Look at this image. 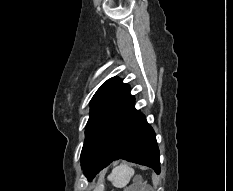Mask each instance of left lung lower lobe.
I'll return each instance as SVG.
<instances>
[{
    "mask_svg": "<svg viewBox=\"0 0 233 191\" xmlns=\"http://www.w3.org/2000/svg\"><path fill=\"white\" fill-rule=\"evenodd\" d=\"M132 96L103 130L89 153L84 174L91 181L112 161L124 159L160 172L155 132L145 116L134 108Z\"/></svg>",
    "mask_w": 233,
    "mask_h": 191,
    "instance_id": "1",
    "label": "left lung lower lobe"
}]
</instances>
